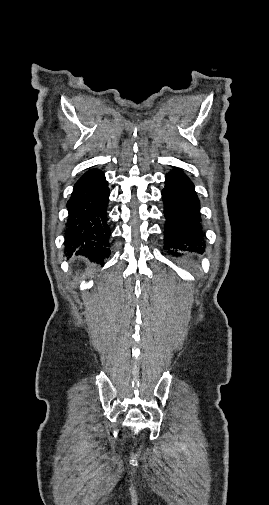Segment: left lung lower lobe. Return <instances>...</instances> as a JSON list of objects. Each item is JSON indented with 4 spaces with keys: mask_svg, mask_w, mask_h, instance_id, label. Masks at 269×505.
Wrapping results in <instances>:
<instances>
[{
    "mask_svg": "<svg viewBox=\"0 0 269 505\" xmlns=\"http://www.w3.org/2000/svg\"><path fill=\"white\" fill-rule=\"evenodd\" d=\"M162 191L164 201L165 249L202 253L205 248L200 217V204L194 185L179 170L166 175Z\"/></svg>",
    "mask_w": 269,
    "mask_h": 505,
    "instance_id": "1",
    "label": "left lung lower lobe"
}]
</instances>
